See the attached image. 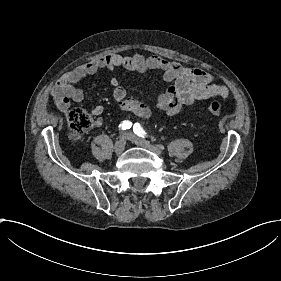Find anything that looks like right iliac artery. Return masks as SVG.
Wrapping results in <instances>:
<instances>
[{"label": "right iliac artery", "mask_w": 281, "mask_h": 281, "mask_svg": "<svg viewBox=\"0 0 281 281\" xmlns=\"http://www.w3.org/2000/svg\"><path fill=\"white\" fill-rule=\"evenodd\" d=\"M131 126L132 123L130 121H123V123L119 125V127H122L123 130L130 129Z\"/></svg>", "instance_id": "obj_1"}]
</instances>
